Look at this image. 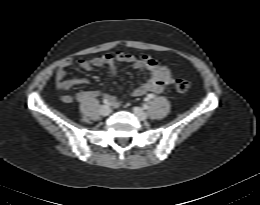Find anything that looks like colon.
Returning <instances> with one entry per match:
<instances>
[{"label": "colon", "mask_w": 260, "mask_h": 205, "mask_svg": "<svg viewBox=\"0 0 260 205\" xmlns=\"http://www.w3.org/2000/svg\"><path fill=\"white\" fill-rule=\"evenodd\" d=\"M175 88L179 91V92H186L189 90L190 88V84L187 80L184 79H177L175 81Z\"/></svg>", "instance_id": "colon-1"}]
</instances>
